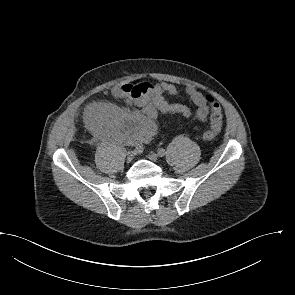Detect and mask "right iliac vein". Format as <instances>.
<instances>
[{
    "label": "right iliac vein",
    "mask_w": 295,
    "mask_h": 295,
    "mask_svg": "<svg viewBox=\"0 0 295 295\" xmlns=\"http://www.w3.org/2000/svg\"><path fill=\"white\" fill-rule=\"evenodd\" d=\"M134 156H135V152H134V151H129V152L127 153V160H128V161H132L133 158H134Z\"/></svg>",
    "instance_id": "obj_1"
}]
</instances>
